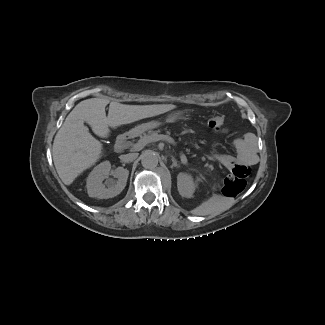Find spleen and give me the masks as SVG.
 Wrapping results in <instances>:
<instances>
[{
    "instance_id": "1",
    "label": "spleen",
    "mask_w": 325,
    "mask_h": 325,
    "mask_svg": "<svg viewBox=\"0 0 325 325\" xmlns=\"http://www.w3.org/2000/svg\"><path fill=\"white\" fill-rule=\"evenodd\" d=\"M229 202L219 194H213L209 199L203 201L194 208L191 213L194 215L205 216L209 214H219L227 210Z\"/></svg>"
}]
</instances>
